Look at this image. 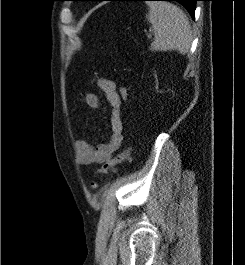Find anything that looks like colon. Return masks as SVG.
<instances>
[{"label": "colon", "instance_id": "1", "mask_svg": "<svg viewBox=\"0 0 245 265\" xmlns=\"http://www.w3.org/2000/svg\"><path fill=\"white\" fill-rule=\"evenodd\" d=\"M120 95L123 100H126L129 96L128 89L126 87H122L120 89ZM130 149L126 148L122 152H120L116 157H114L112 160H109L104 163V165L98 170V174H106L110 171H114L116 167L128 159L129 157ZM91 186L95 188L97 184L95 182H92Z\"/></svg>", "mask_w": 245, "mask_h": 265}]
</instances>
